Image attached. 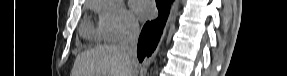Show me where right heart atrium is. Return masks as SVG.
Listing matches in <instances>:
<instances>
[{
	"mask_svg": "<svg viewBox=\"0 0 287 76\" xmlns=\"http://www.w3.org/2000/svg\"><path fill=\"white\" fill-rule=\"evenodd\" d=\"M93 8L99 16V29L104 40L118 42L138 33V20L119 1L97 0Z\"/></svg>",
	"mask_w": 287,
	"mask_h": 76,
	"instance_id": "right-heart-atrium-1",
	"label": "right heart atrium"
}]
</instances>
